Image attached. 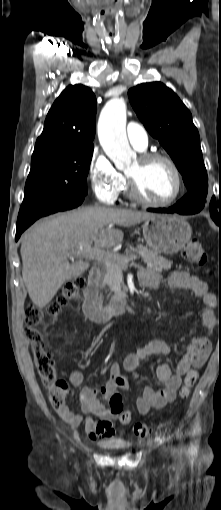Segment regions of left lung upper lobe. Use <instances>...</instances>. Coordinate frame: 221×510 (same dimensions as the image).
<instances>
[{
  "label": "left lung upper lobe",
  "instance_id": "left-lung-upper-lobe-1",
  "mask_svg": "<svg viewBox=\"0 0 221 510\" xmlns=\"http://www.w3.org/2000/svg\"><path fill=\"white\" fill-rule=\"evenodd\" d=\"M128 95L145 128L158 139L182 174L188 194L177 203H190L202 209L208 198V178L199 133L192 122L190 111L161 82L143 83L131 88ZM210 210L217 211L214 197L210 202Z\"/></svg>",
  "mask_w": 221,
  "mask_h": 510
}]
</instances>
